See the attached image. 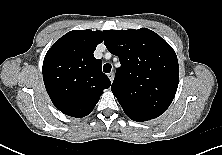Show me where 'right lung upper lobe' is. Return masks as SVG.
Returning a JSON list of instances; mask_svg holds the SVG:
<instances>
[{"label":"right lung upper lobe","mask_w":222,"mask_h":155,"mask_svg":"<svg viewBox=\"0 0 222 155\" xmlns=\"http://www.w3.org/2000/svg\"><path fill=\"white\" fill-rule=\"evenodd\" d=\"M103 41L101 31L73 30L58 39L43 61V80L55 107L71 117L92 112L109 78L93 53Z\"/></svg>","instance_id":"right-lung-upper-lobe-1"}]
</instances>
